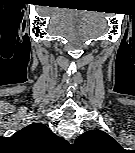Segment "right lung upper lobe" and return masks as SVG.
Masks as SVG:
<instances>
[{
  "mask_svg": "<svg viewBox=\"0 0 135 153\" xmlns=\"http://www.w3.org/2000/svg\"><path fill=\"white\" fill-rule=\"evenodd\" d=\"M14 137L35 147H46L64 139L56 136L48 127L41 123L30 124L14 134Z\"/></svg>",
  "mask_w": 135,
  "mask_h": 153,
  "instance_id": "cb5924a9",
  "label": "right lung upper lobe"
}]
</instances>
